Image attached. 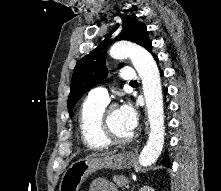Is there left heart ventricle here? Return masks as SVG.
<instances>
[{
  "instance_id": "obj_1",
  "label": "left heart ventricle",
  "mask_w": 221,
  "mask_h": 191,
  "mask_svg": "<svg viewBox=\"0 0 221 191\" xmlns=\"http://www.w3.org/2000/svg\"><path fill=\"white\" fill-rule=\"evenodd\" d=\"M110 124L112 129L119 135L122 137H127L129 135H131L132 133L130 131H128L122 122L121 119V115H120V111L119 109L115 110L112 112L111 116H110Z\"/></svg>"
}]
</instances>
